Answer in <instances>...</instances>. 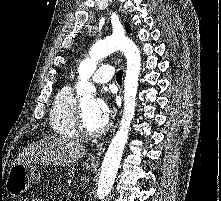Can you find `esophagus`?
Listing matches in <instances>:
<instances>
[{
  "label": "esophagus",
  "mask_w": 221,
  "mask_h": 201,
  "mask_svg": "<svg viewBox=\"0 0 221 201\" xmlns=\"http://www.w3.org/2000/svg\"><path fill=\"white\" fill-rule=\"evenodd\" d=\"M106 143L107 141H102L101 143L98 144L96 151L89 156L90 162L98 163L100 161V158L105 151Z\"/></svg>",
  "instance_id": "1"
}]
</instances>
